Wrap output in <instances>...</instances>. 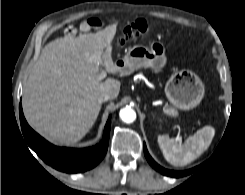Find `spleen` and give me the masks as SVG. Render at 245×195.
I'll return each instance as SVG.
<instances>
[{
	"instance_id": "1",
	"label": "spleen",
	"mask_w": 245,
	"mask_h": 195,
	"mask_svg": "<svg viewBox=\"0 0 245 195\" xmlns=\"http://www.w3.org/2000/svg\"><path fill=\"white\" fill-rule=\"evenodd\" d=\"M214 133L213 127L206 126L190 136L184 144H178L174 139L159 135L158 144L170 164L184 166L193 162L209 147Z\"/></svg>"
}]
</instances>
